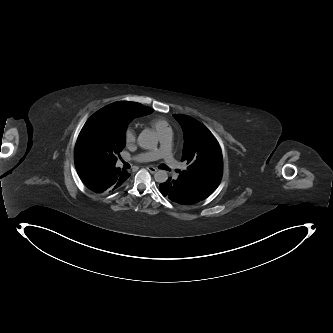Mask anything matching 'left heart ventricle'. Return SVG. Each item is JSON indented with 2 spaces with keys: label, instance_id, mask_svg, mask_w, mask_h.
<instances>
[{
  "label": "left heart ventricle",
  "instance_id": "left-heart-ventricle-1",
  "mask_svg": "<svg viewBox=\"0 0 333 333\" xmlns=\"http://www.w3.org/2000/svg\"><path fill=\"white\" fill-rule=\"evenodd\" d=\"M152 152H159L161 150V145L157 146L154 145L153 147H151Z\"/></svg>",
  "mask_w": 333,
  "mask_h": 333
}]
</instances>
